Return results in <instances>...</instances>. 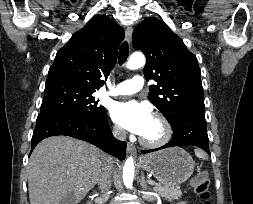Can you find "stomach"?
Listing matches in <instances>:
<instances>
[{
  "instance_id": "obj_1",
  "label": "stomach",
  "mask_w": 253,
  "mask_h": 204,
  "mask_svg": "<svg viewBox=\"0 0 253 204\" xmlns=\"http://www.w3.org/2000/svg\"><path fill=\"white\" fill-rule=\"evenodd\" d=\"M139 163L145 171L168 187H177L184 183L194 171L192 157L180 147L141 156Z\"/></svg>"
}]
</instances>
